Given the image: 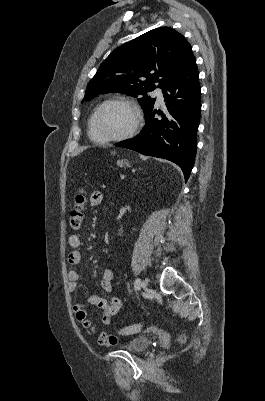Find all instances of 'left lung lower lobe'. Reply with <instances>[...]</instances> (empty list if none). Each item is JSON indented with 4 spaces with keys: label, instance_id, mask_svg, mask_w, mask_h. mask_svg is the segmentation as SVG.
Instances as JSON below:
<instances>
[{
    "label": "left lung lower lobe",
    "instance_id": "1",
    "mask_svg": "<svg viewBox=\"0 0 265 401\" xmlns=\"http://www.w3.org/2000/svg\"><path fill=\"white\" fill-rule=\"evenodd\" d=\"M195 57L192 55L177 76L162 88L166 109L145 113V126L134 138L115 144L141 154L163 158L181 167L185 180L193 168L200 123L201 93Z\"/></svg>",
    "mask_w": 265,
    "mask_h": 401
}]
</instances>
